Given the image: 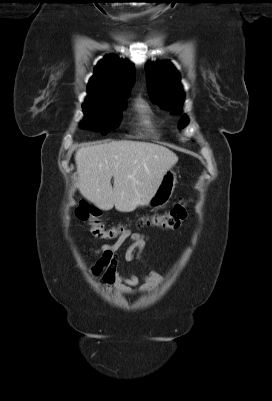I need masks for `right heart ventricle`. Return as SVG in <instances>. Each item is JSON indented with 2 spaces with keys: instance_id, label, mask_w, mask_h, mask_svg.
Returning <instances> with one entry per match:
<instances>
[{
  "instance_id": "e07e8e85",
  "label": "right heart ventricle",
  "mask_w": 272,
  "mask_h": 401,
  "mask_svg": "<svg viewBox=\"0 0 272 401\" xmlns=\"http://www.w3.org/2000/svg\"><path fill=\"white\" fill-rule=\"evenodd\" d=\"M138 109L143 114L145 122L149 123L151 120V117H150V109H149L148 105L145 102H140L138 104Z\"/></svg>"
}]
</instances>
